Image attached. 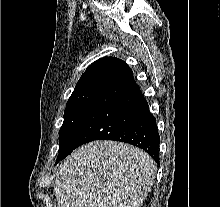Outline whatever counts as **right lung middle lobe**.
<instances>
[{
    "instance_id": "dd1d6c3e",
    "label": "right lung middle lobe",
    "mask_w": 220,
    "mask_h": 207,
    "mask_svg": "<svg viewBox=\"0 0 220 207\" xmlns=\"http://www.w3.org/2000/svg\"><path fill=\"white\" fill-rule=\"evenodd\" d=\"M103 82H96L75 89L70 96L64 113L63 125L59 130V155L56 163L65 153L69 141L91 107Z\"/></svg>"
}]
</instances>
